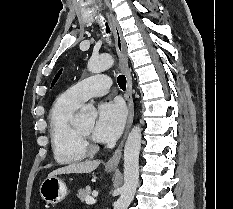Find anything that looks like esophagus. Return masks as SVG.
I'll use <instances>...</instances> for the list:
<instances>
[{"instance_id":"1","label":"esophagus","mask_w":233,"mask_h":209,"mask_svg":"<svg viewBox=\"0 0 233 209\" xmlns=\"http://www.w3.org/2000/svg\"><path fill=\"white\" fill-rule=\"evenodd\" d=\"M107 18L109 20V23L111 25L114 39H115V46L116 51L119 57V65L121 70L126 76V93H125V99L127 101L128 105V120L126 125V130L124 137L122 141L120 142L118 148L114 152L113 156L107 161L106 166L110 168H116L120 162L121 155H122V149L123 144L125 141V138L132 126L133 119H134V103H133V92H132V77H131V70L128 65V56H127V50H126V44L120 29V26L118 22L116 21L114 15L112 13L107 12L106 13Z\"/></svg>"}]
</instances>
